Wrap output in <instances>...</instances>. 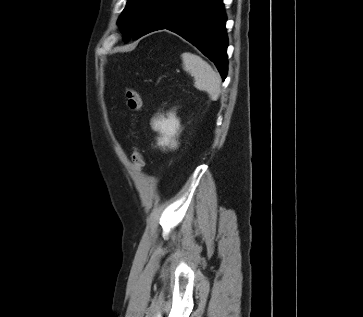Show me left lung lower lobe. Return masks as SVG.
<instances>
[{"mask_svg":"<svg viewBox=\"0 0 363 317\" xmlns=\"http://www.w3.org/2000/svg\"><path fill=\"white\" fill-rule=\"evenodd\" d=\"M222 0H159L144 33L168 29L199 48L227 75L228 39Z\"/></svg>","mask_w":363,"mask_h":317,"instance_id":"1","label":"left lung lower lobe"}]
</instances>
